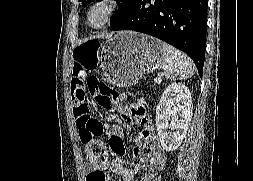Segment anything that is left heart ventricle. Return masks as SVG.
Here are the masks:
<instances>
[{"mask_svg": "<svg viewBox=\"0 0 253 181\" xmlns=\"http://www.w3.org/2000/svg\"><path fill=\"white\" fill-rule=\"evenodd\" d=\"M102 18V12L100 10H96L91 17L93 23H98Z\"/></svg>", "mask_w": 253, "mask_h": 181, "instance_id": "b2bd125f", "label": "left heart ventricle"}]
</instances>
